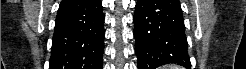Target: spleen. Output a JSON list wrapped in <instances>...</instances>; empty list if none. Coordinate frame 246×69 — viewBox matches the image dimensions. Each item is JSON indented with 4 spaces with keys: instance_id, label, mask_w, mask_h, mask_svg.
Instances as JSON below:
<instances>
[{
    "instance_id": "spleen-1",
    "label": "spleen",
    "mask_w": 246,
    "mask_h": 69,
    "mask_svg": "<svg viewBox=\"0 0 246 69\" xmlns=\"http://www.w3.org/2000/svg\"><path fill=\"white\" fill-rule=\"evenodd\" d=\"M166 69H183V68L179 66L170 65V66H167Z\"/></svg>"
}]
</instances>
